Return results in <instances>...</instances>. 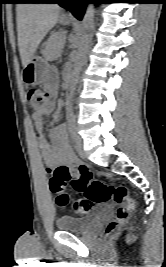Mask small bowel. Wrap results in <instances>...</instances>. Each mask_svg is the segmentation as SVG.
<instances>
[{
    "label": "small bowel",
    "instance_id": "c3829d8e",
    "mask_svg": "<svg viewBox=\"0 0 166 267\" xmlns=\"http://www.w3.org/2000/svg\"><path fill=\"white\" fill-rule=\"evenodd\" d=\"M48 89L51 92L55 91L54 85H49ZM51 113V109L44 110L33 114L35 130L38 136V146L41 158L47 167V172L52 171L57 166H68L77 163V157L74 155L69 139L66 125L49 130L51 142H49L43 134L44 117Z\"/></svg>",
    "mask_w": 166,
    "mask_h": 267
}]
</instances>
